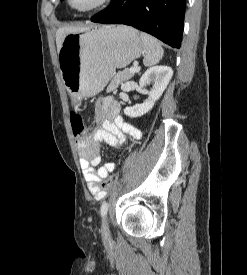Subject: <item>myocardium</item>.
I'll return each instance as SVG.
<instances>
[{
  "instance_id": "obj_1",
  "label": "myocardium",
  "mask_w": 247,
  "mask_h": 275,
  "mask_svg": "<svg viewBox=\"0 0 247 275\" xmlns=\"http://www.w3.org/2000/svg\"><path fill=\"white\" fill-rule=\"evenodd\" d=\"M111 0H97V2L95 4H93L92 6L88 7V8H85V9H78V8H75L73 5H72V2L71 0H66V3L68 5V7L74 11V12H77V13H81V14H85V13H91V12H94V11H97L101 8H103L104 6H106Z\"/></svg>"
}]
</instances>
